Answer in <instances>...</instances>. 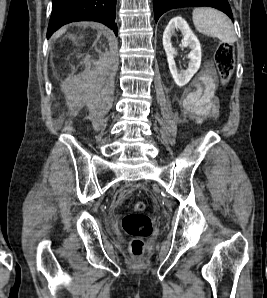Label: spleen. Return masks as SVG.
Wrapping results in <instances>:
<instances>
[{
	"label": "spleen",
	"mask_w": 267,
	"mask_h": 298,
	"mask_svg": "<svg viewBox=\"0 0 267 298\" xmlns=\"http://www.w3.org/2000/svg\"><path fill=\"white\" fill-rule=\"evenodd\" d=\"M196 30L206 36L216 37L224 43L233 44L236 34L227 15L216 9L198 7L192 13Z\"/></svg>",
	"instance_id": "obj_1"
}]
</instances>
